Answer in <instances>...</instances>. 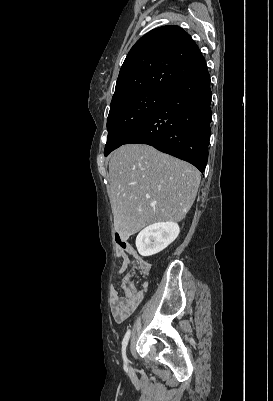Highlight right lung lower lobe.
Returning <instances> with one entry per match:
<instances>
[{
  "mask_svg": "<svg viewBox=\"0 0 273 401\" xmlns=\"http://www.w3.org/2000/svg\"><path fill=\"white\" fill-rule=\"evenodd\" d=\"M210 74L204 69L166 92L124 144H147L204 172L211 133Z\"/></svg>",
  "mask_w": 273,
  "mask_h": 401,
  "instance_id": "1",
  "label": "right lung lower lobe"
}]
</instances>
